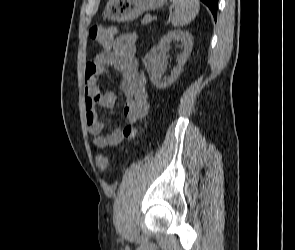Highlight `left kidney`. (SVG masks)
I'll use <instances>...</instances> for the list:
<instances>
[{
	"mask_svg": "<svg viewBox=\"0 0 295 250\" xmlns=\"http://www.w3.org/2000/svg\"><path fill=\"white\" fill-rule=\"evenodd\" d=\"M181 41L183 44V52L177 57V66L171 71L168 78L161 79L162 74L167 66V47L172 41ZM193 47V37L189 32L172 30L169 31L159 42L156 47H153L145 56L143 63L149 73L151 82L158 88L164 89L170 86L180 75L183 66L189 58Z\"/></svg>",
	"mask_w": 295,
	"mask_h": 250,
	"instance_id": "left-kidney-1",
	"label": "left kidney"
}]
</instances>
